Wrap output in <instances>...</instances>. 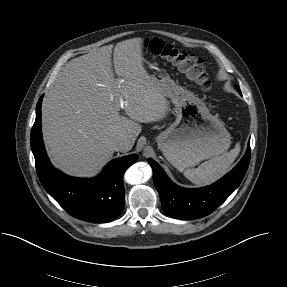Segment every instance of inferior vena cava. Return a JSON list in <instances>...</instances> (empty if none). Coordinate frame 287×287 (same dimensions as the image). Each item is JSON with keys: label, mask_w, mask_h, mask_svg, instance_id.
Here are the masks:
<instances>
[{"label": "inferior vena cava", "mask_w": 287, "mask_h": 287, "mask_svg": "<svg viewBox=\"0 0 287 287\" xmlns=\"http://www.w3.org/2000/svg\"><path fill=\"white\" fill-rule=\"evenodd\" d=\"M127 145V140L123 137H116L111 141V147L115 151H121Z\"/></svg>", "instance_id": "602c4592"}]
</instances>
